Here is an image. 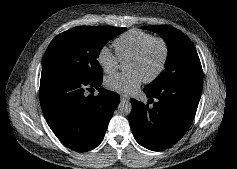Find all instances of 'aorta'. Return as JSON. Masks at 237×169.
Here are the masks:
<instances>
[{"mask_svg": "<svg viewBox=\"0 0 237 169\" xmlns=\"http://www.w3.org/2000/svg\"><path fill=\"white\" fill-rule=\"evenodd\" d=\"M132 110V105L129 101H121L117 107V111L120 115H129Z\"/></svg>", "mask_w": 237, "mask_h": 169, "instance_id": "1", "label": "aorta"}]
</instances>
